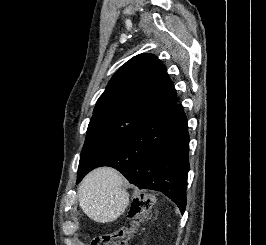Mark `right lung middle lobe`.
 <instances>
[{
	"label": "right lung middle lobe",
	"instance_id": "obj_1",
	"mask_svg": "<svg viewBox=\"0 0 266 245\" xmlns=\"http://www.w3.org/2000/svg\"><path fill=\"white\" fill-rule=\"evenodd\" d=\"M141 119L118 114L93 116L87 130L83 146L78 176L105 151L119 142Z\"/></svg>",
	"mask_w": 266,
	"mask_h": 245
}]
</instances>
